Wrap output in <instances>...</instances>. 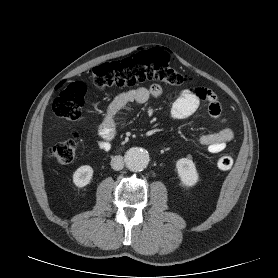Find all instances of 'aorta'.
Listing matches in <instances>:
<instances>
[{
  "instance_id": "obj_1",
  "label": "aorta",
  "mask_w": 278,
  "mask_h": 278,
  "mask_svg": "<svg viewBox=\"0 0 278 278\" xmlns=\"http://www.w3.org/2000/svg\"><path fill=\"white\" fill-rule=\"evenodd\" d=\"M125 163L131 171H142L149 163V155L145 149L134 147L125 154Z\"/></svg>"
}]
</instances>
